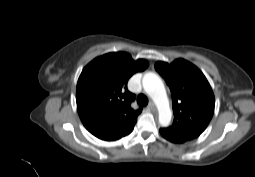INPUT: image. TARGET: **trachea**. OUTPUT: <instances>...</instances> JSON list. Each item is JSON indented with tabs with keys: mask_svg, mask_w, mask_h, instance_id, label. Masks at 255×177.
Returning <instances> with one entry per match:
<instances>
[{
	"mask_svg": "<svg viewBox=\"0 0 255 177\" xmlns=\"http://www.w3.org/2000/svg\"><path fill=\"white\" fill-rule=\"evenodd\" d=\"M137 103L142 106H146L148 104V99L144 94H140L137 98Z\"/></svg>",
	"mask_w": 255,
	"mask_h": 177,
	"instance_id": "trachea-1",
	"label": "trachea"
}]
</instances>
